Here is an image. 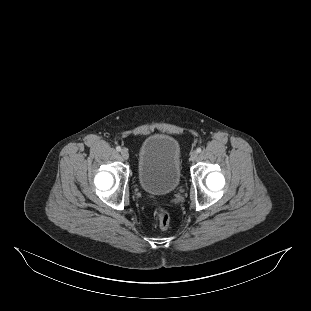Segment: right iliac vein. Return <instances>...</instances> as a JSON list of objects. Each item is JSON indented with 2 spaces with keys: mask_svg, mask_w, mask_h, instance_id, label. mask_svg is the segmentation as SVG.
<instances>
[{
  "mask_svg": "<svg viewBox=\"0 0 311 311\" xmlns=\"http://www.w3.org/2000/svg\"><path fill=\"white\" fill-rule=\"evenodd\" d=\"M121 156L124 158V159H128L129 158V153L126 149H122L121 150Z\"/></svg>",
  "mask_w": 311,
  "mask_h": 311,
  "instance_id": "right-iliac-vein-1",
  "label": "right iliac vein"
}]
</instances>
